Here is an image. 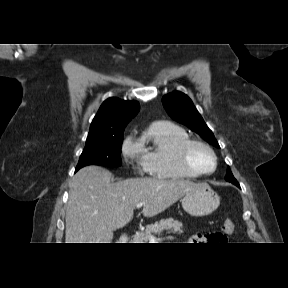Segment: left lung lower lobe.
Segmentation results:
<instances>
[{
    "instance_id": "obj_1",
    "label": "left lung lower lobe",
    "mask_w": 288,
    "mask_h": 288,
    "mask_svg": "<svg viewBox=\"0 0 288 288\" xmlns=\"http://www.w3.org/2000/svg\"><path fill=\"white\" fill-rule=\"evenodd\" d=\"M234 185L240 188L239 183L237 181L232 182Z\"/></svg>"
}]
</instances>
